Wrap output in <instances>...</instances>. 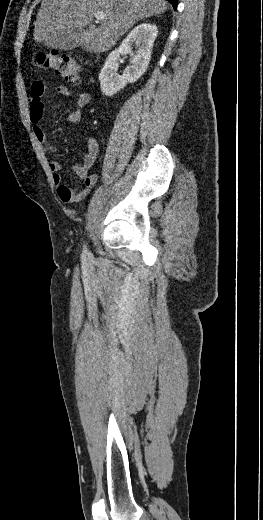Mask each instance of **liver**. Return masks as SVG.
<instances>
[{"instance_id":"1","label":"liver","mask_w":263,"mask_h":520,"mask_svg":"<svg viewBox=\"0 0 263 520\" xmlns=\"http://www.w3.org/2000/svg\"><path fill=\"white\" fill-rule=\"evenodd\" d=\"M165 0H42L38 11L34 39L48 45L50 35L83 29L79 44L87 52L111 49L118 39L138 21L164 13ZM96 12L106 17L93 24ZM86 28V29H85Z\"/></svg>"}]
</instances>
